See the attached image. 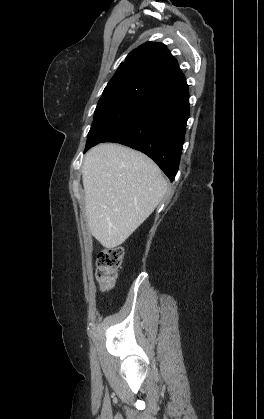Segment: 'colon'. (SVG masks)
I'll use <instances>...</instances> for the list:
<instances>
[{
	"label": "colon",
	"mask_w": 264,
	"mask_h": 419,
	"mask_svg": "<svg viewBox=\"0 0 264 419\" xmlns=\"http://www.w3.org/2000/svg\"><path fill=\"white\" fill-rule=\"evenodd\" d=\"M123 250L107 248L99 252L97 257L96 278L103 290H110L115 282L116 272L121 265Z\"/></svg>",
	"instance_id": "colon-1"
}]
</instances>
